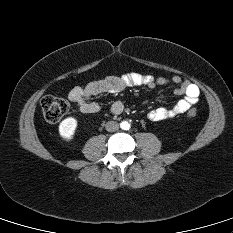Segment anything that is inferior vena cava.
I'll use <instances>...</instances> for the list:
<instances>
[{"label":"inferior vena cava","mask_w":233,"mask_h":233,"mask_svg":"<svg viewBox=\"0 0 233 233\" xmlns=\"http://www.w3.org/2000/svg\"><path fill=\"white\" fill-rule=\"evenodd\" d=\"M105 128L108 132H114L119 129V124L115 121H108L105 125Z\"/></svg>","instance_id":"obj_1"}]
</instances>
